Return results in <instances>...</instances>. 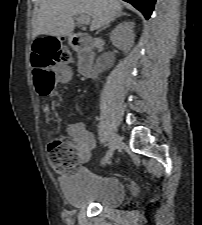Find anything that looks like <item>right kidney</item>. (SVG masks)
<instances>
[{
  "instance_id": "ca27d5eb",
  "label": "right kidney",
  "mask_w": 202,
  "mask_h": 225,
  "mask_svg": "<svg viewBox=\"0 0 202 225\" xmlns=\"http://www.w3.org/2000/svg\"><path fill=\"white\" fill-rule=\"evenodd\" d=\"M133 22H122L118 24L111 32L110 39L113 45L124 52H128L134 45L135 34Z\"/></svg>"
}]
</instances>
